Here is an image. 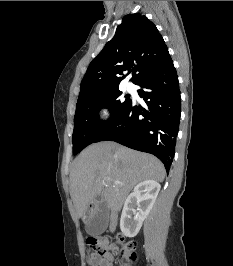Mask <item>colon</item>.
<instances>
[{"mask_svg": "<svg viewBox=\"0 0 233 266\" xmlns=\"http://www.w3.org/2000/svg\"><path fill=\"white\" fill-rule=\"evenodd\" d=\"M117 244L121 245V253L128 256L131 260L135 259V243L134 242H124L122 237H118L116 240ZM88 246L96 253L101 255H106L114 245L112 244L110 237L104 235L99 237H89L87 239Z\"/></svg>", "mask_w": 233, "mask_h": 266, "instance_id": "obj_1", "label": "colon"}]
</instances>
